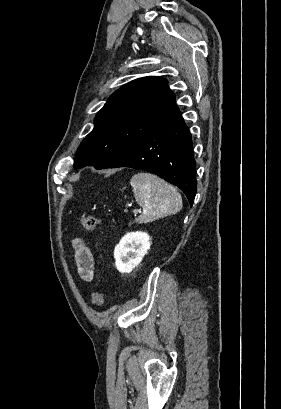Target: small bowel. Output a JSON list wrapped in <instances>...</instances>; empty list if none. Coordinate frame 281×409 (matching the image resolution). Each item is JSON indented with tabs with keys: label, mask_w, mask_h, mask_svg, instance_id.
<instances>
[{
	"label": "small bowel",
	"mask_w": 281,
	"mask_h": 409,
	"mask_svg": "<svg viewBox=\"0 0 281 409\" xmlns=\"http://www.w3.org/2000/svg\"><path fill=\"white\" fill-rule=\"evenodd\" d=\"M74 249V264L77 269L79 277L85 281L89 282L94 276V257L91 250L81 239H75L73 241Z\"/></svg>",
	"instance_id": "c3829d8e"
}]
</instances>
